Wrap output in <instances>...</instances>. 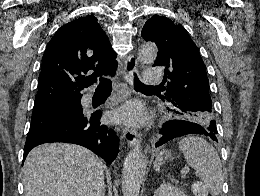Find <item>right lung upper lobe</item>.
I'll return each mask as SVG.
<instances>
[{
	"instance_id": "cb5924a9",
	"label": "right lung upper lobe",
	"mask_w": 260,
	"mask_h": 196,
	"mask_svg": "<svg viewBox=\"0 0 260 196\" xmlns=\"http://www.w3.org/2000/svg\"><path fill=\"white\" fill-rule=\"evenodd\" d=\"M116 53L93 15L63 25L42 57L34 107L81 96V90L117 68ZM93 74L86 76V74Z\"/></svg>"
}]
</instances>
